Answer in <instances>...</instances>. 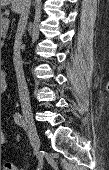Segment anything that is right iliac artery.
Instances as JSON below:
<instances>
[{
    "mask_svg": "<svg viewBox=\"0 0 109 170\" xmlns=\"http://www.w3.org/2000/svg\"><path fill=\"white\" fill-rule=\"evenodd\" d=\"M14 121L18 126L22 127L25 131H27V126L19 113H15Z\"/></svg>",
    "mask_w": 109,
    "mask_h": 170,
    "instance_id": "82829eb1",
    "label": "right iliac artery"
}]
</instances>
